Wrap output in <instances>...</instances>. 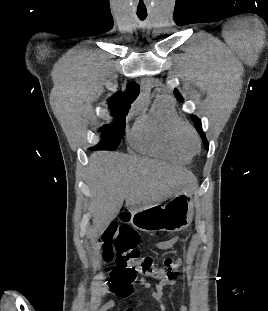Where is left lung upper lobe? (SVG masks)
Returning <instances> with one entry per match:
<instances>
[{
  "instance_id": "obj_1",
  "label": "left lung upper lobe",
  "mask_w": 268,
  "mask_h": 311,
  "mask_svg": "<svg viewBox=\"0 0 268 311\" xmlns=\"http://www.w3.org/2000/svg\"><path fill=\"white\" fill-rule=\"evenodd\" d=\"M174 93H175V95H176V97H177V99L179 101H183V98H182L181 94L178 92L177 89L174 90ZM191 118H192V121L194 122L195 128L197 129L198 133L201 135V137L203 139V143L205 145V148L208 150L209 143H208V141H207V139L205 137V134H204V132L202 130L201 120L198 117H196L195 115H192Z\"/></svg>"
}]
</instances>
